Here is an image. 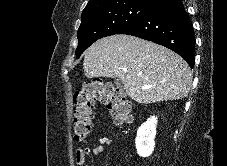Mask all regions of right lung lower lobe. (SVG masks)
<instances>
[{
  "label": "right lung lower lobe",
  "instance_id": "right-lung-lower-lobe-1",
  "mask_svg": "<svg viewBox=\"0 0 227 166\" xmlns=\"http://www.w3.org/2000/svg\"><path fill=\"white\" fill-rule=\"evenodd\" d=\"M118 34L136 36L165 46L194 67L195 37L182 0H162Z\"/></svg>",
  "mask_w": 227,
  "mask_h": 166
}]
</instances>
